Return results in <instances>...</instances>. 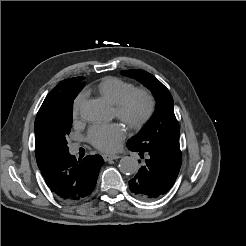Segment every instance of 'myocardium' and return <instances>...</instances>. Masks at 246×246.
<instances>
[{"label":"myocardium","instance_id":"obj_1","mask_svg":"<svg viewBox=\"0 0 246 246\" xmlns=\"http://www.w3.org/2000/svg\"><path fill=\"white\" fill-rule=\"evenodd\" d=\"M145 101L144 112L133 117L130 114L131 107L137 99ZM156 110V98L154 94L146 88H136L127 94L121 101L115 104V111L117 117L125 122L132 130H139L145 126L152 118Z\"/></svg>","mask_w":246,"mask_h":246}]
</instances>
